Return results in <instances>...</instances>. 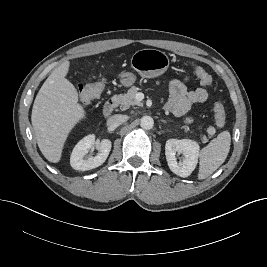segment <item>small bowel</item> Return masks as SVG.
I'll return each mask as SVG.
<instances>
[{
    "instance_id": "c3829d8e",
    "label": "small bowel",
    "mask_w": 267,
    "mask_h": 267,
    "mask_svg": "<svg viewBox=\"0 0 267 267\" xmlns=\"http://www.w3.org/2000/svg\"><path fill=\"white\" fill-rule=\"evenodd\" d=\"M188 78L176 79L170 83L169 99L166 108L177 117L184 116L195 103H202L208 99V92L203 87L192 91L187 89Z\"/></svg>"
}]
</instances>
